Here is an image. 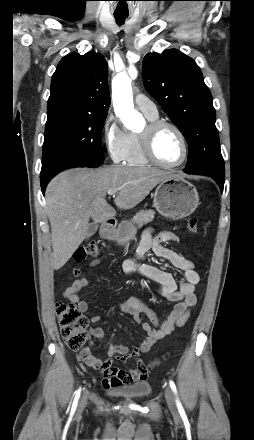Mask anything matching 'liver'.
Wrapping results in <instances>:
<instances>
[{"label": "liver", "instance_id": "liver-1", "mask_svg": "<svg viewBox=\"0 0 254 440\" xmlns=\"http://www.w3.org/2000/svg\"><path fill=\"white\" fill-rule=\"evenodd\" d=\"M171 175L147 167L110 166L69 169L55 176L45 191L53 268L63 267L83 242L90 218L102 223L116 215L105 200L108 190H117V207L131 209Z\"/></svg>", "mask_w": 254, "mask_h": 440}]
</instances>
